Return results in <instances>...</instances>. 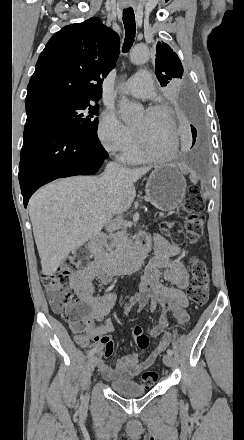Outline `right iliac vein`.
<instances>
[{
    "label": "right iliac vein",
    "instance_id": "right-iliac-vein-1",
    "mask_svg": "<svg viewBox=\"0 0 244 440\" xmlns=\"http://www.w3.org/2000/svg\"><path fill=\"white\" fill-rule=\"evenodd\" d=\"M97 362H98V358L96 356H91L90 357V359L88 361V364H87V375H88V377H91V375H92V373H93V371H94V369H95V367L97 365Z\"/></svg>",
    "mask_w": 244,
    "mask_h": 440
}]
</instances>
